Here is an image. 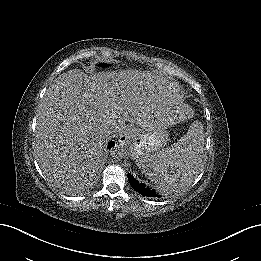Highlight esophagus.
Listing matches in <instances>:
<instances>
[{"label":"esophagus","mask_w":261,"mask_h":261,"mask_svg":"<svg viewBox=\"0 0 261 261\" xmlns=\"http://www.w3.org/2000/svg\"><path fill=\"white\" fill-rule=\"evenodd\" d=\"M120 138H122V139L124 140V142H125V141H127L128 138H130V137H129V134H127L126 132H124V134H122V135L120 136ZM120 141H121V140H120Z\"/></svg>","instance_id":"34e87169"}]
</instances>
